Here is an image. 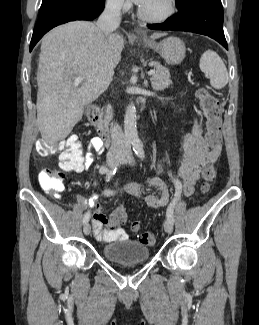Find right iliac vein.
Segmentation results:
<instances>
[{
  "instance_id": "obj_1",
  "label": "right iliac vein",
  "mask_w": 259,
  "mask_h": 325,
  "mask_svg": "<svg viewBox=\"0 0 259 325\" xmlns=\"http://www.w3.org/2000/svg\"><path fill=\"white\" fill-rule=\"evenodd\" d=\"M120 157H121L120 154H110L107 157V161H106L107 162V165L109 167L114 166L120 160ZM83 231H84V234L85 235H89L90 234V232H91V225L88 222H86L84 224Z\"/></svg>"
}]
</instances>
